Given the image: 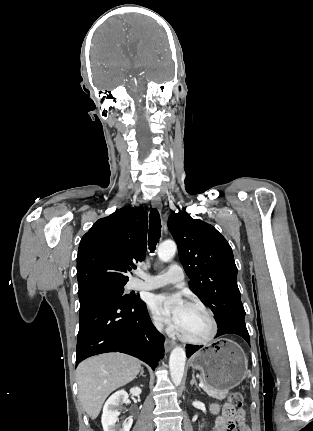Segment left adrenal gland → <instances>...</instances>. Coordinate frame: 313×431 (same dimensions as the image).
<instances>
[{"mask_svg": "<svg viewBox=\"0 0 313 431\" xmlns=\"http://www.w3.org/2000/svg\"><path fill=\"white\" fill-rule=\"evenodd\" d=\"M190 384H191V385H195V386H196V388H198V389H199V391H200V388L198 387V384H197V382H196V379H195L194 374H192V380H191Z\"/></svg>", "mask_w": 313, "mask_h": 431, "instance_id": "1", "label": "left adrenal gland"}]
</instances>
